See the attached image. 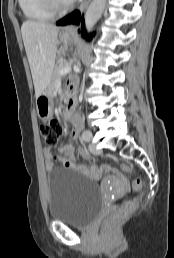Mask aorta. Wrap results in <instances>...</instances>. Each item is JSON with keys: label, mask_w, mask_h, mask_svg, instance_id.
Masks as SVG:
<instances>
[{"label": "aorta", "mask_w": 174, "mask_h": 258, "mask_svg": "<svg viewBox=\"0 0 174 258\" xmlns=\"http://www.w3.org/2000/svg\"><path fill=\"white\" fill-rule=\"evenodd\" d=\"M106 6V0H92L85 13L86 30L90 32L101 18Z\"/></svg>", "instance_id": "1"}]
</instances>
